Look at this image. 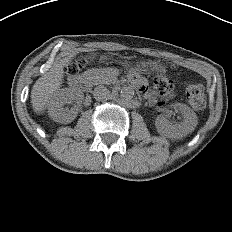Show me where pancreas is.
Listing matches in <instances>:
<instances>
[{
    "mask_svg": "<svg viewBox=\"0 0 232 232\" xmlns=\"http://www.w3.org/2000/svg\"><path fill=\"white\" fill-rule=\"evenodd\" d=\"M102 73L108 76V73L106 71H102Z\"/></svg>",
    "mask_w": 232,
    "mask_h": 232,
    "instance_id": "obj_1",
    "label": "pancreas"
}]
</instances>
